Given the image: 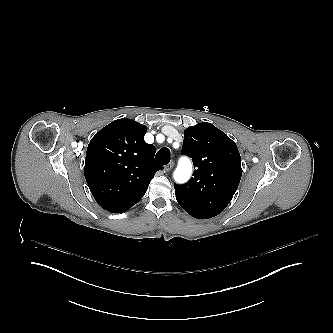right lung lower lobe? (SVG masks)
Returning <instances> with one entry per match:
<instances>
[{
    "label": "right lung lower lobe",
    "mask_w": 333,
    "mask_h": 333,
    "mask_svg": "<svg viewBox=\"0 0 333 333\" xmlns=\"http://www.w3.org/2000/svg\"><path fill=\"white\" fill-rule=\"evenodd\" d=\"M146 193L145 191L131 193L126 195L125 197L119 199L114 205L111 206L110 209H106L110 212L114 213H122L136 204Z\"/></svg>",
    "instance_id": "1"
}]
</instances>
